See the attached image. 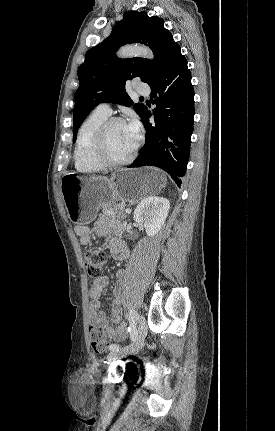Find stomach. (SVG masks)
Wrapping results in <instances>:
<instances>
[{
	"instance_id": "0dacf381",
	"label": "stomach",
	"mask_w": 275,
	"mask_h": 431,
	"mask_svg": "<svg viewBox=\"0 0 275 431\" xmlns=\"http://www.w3.org/2000/svg\"><path fill=\"white\" fill-rule=\"evenodd\" d=\"M166 183L162 171L153 167L120 169L107 177H83L67 173L61 179L62 198L68 217L76 225H87L102 203H136L160 192Z\"/></svg>"
}]
</instances>
